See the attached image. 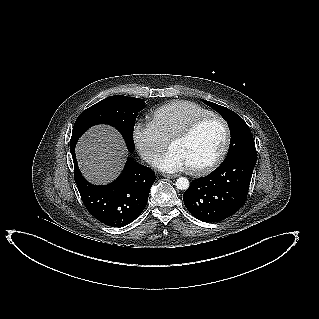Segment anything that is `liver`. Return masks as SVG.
<instances>
[{"label":"liver","instance_id":"obj_1","mask_svg":"<svg viewBox=\"0 0 319 319\" xmlns=\"http://www.w3.org/2000/svg\"><path fill=\"white\" fill-rule=\"evenodd\" d=\"M127 154L121 134L106 125L92 127L76 146L79 168L94 184L114 180L123 169Z\"/></svg>","mask_w":319,"mask_h":319}]
</instances>
